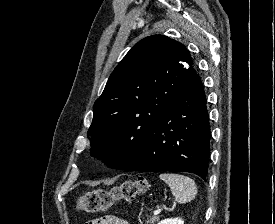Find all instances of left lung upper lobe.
Here are the masks:
<instances>
[{
    "mask_svg": "<svg viewBox=\"0 0 275 224\" xmlns=\"http://www.w3.org/2000/svg\"><path fill=\"white\" fill-rule=\"evenodd\" d=\"M191 64L185 46L167 36L139 41L94 103L91 155L116 169L134 162L153 126L196 74Z\"/></svg>",
    "mask_w": 275,
    "mask_h": 224,
    "instance_id": "obj_1",
    "label": "left lung upper lobe"
}]
</instances>
